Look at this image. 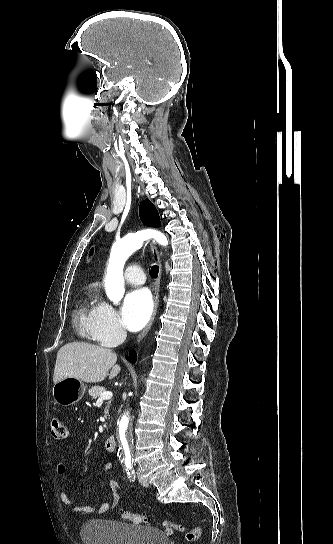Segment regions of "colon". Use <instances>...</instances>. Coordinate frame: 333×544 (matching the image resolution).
<instances>
[{"label": "colon", "instance_id": "obj_1", "mask_svg": "<svg viewBox=\"0 0 333 544\" xmlns=\"http://www.w3.org/2000/svg\"><path fill=\"white\" fill-rule=\"evenodd\" d=\"M51 434L57 440H64L68 437L69 431L66 425L58 418H54L51 422ZM121 516L124 520L139 525L150 524V518L135 514L129 511H122ZM162 526L167 534L172 535L176 532H183L185 528L178 522L166 520L162 522ZM201 535V528L195 526L185 532V538L188 542H194L199 539Z\"/></svg>", "mask_w": 333, "mask_h": 544}]
</instances>
